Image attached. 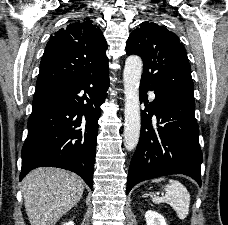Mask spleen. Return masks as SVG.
I'll use <instances>...</instances> for the list:
<instances>
[{
	"label": "spleen",
	"instance_id": "spleen-1",
	"mask_svg": "<svg viewBox=\"0 0 228 225\" xmlns=\"http://www.w3.org/2000/svg\"><path fill=\"white\" fill-rule=\"evenodd\" d=\"M160 181H165V179H155L152 183H160ZM165 195L164 197H151L155 205H160V203H168L174 211L177 213V217L183 221L189 215V205H190V195L179 181H172L169 179V185H165Z\"/></svg>",
	"mask_w": 228,
	"mask_h": 225
}]
</instances>
